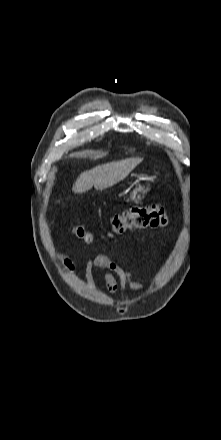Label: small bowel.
<instances>
[{"label":"small bowel","mask_w":221,"mask_h":440,"mask_svg":"<svg viewBox=\"0 0 221 440\" xmlns=\"http://www.w3.org/2000/svg\"><path fill=\"white\" fill-rule=\"evenodd\" d=\"M59 259L61 260L64 269L69 273L73 274L76 270L74 262L65 254L59 253ZM99 271L102 275L104 284L108 292L113 296L117 293L119 288L123 290H143L145 288L144 284L132 280L129 271L124 270L115 261L106 255H97L92 259L85 262L84 266V277L87 285L90 288L95 287L96 276L95 272ZM116 276L120 277V282H118Z\"/></svg>","instance_id":"small-bowel-1"}]
</instances>
